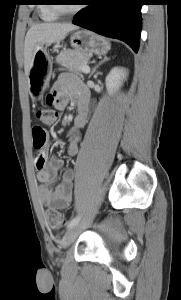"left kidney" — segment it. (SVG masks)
Masks as SVG:
<instances>
[{
    "label": "left kidney",
    "mask_w": 181,
    "mask_h": 300,
    "mask_svg": "<svg viewBox=\"0 0 181 300\" xmlns=\"http://www.w3.org/2000/svg\"><path fill=\"white\" fill-rule=\"evenodd\" d=\"M127 70L121 67H114L106 77V88L113 94L126 80Z\"/></svg>",
    "instance_id": "1"
}]
</instances>
